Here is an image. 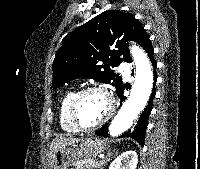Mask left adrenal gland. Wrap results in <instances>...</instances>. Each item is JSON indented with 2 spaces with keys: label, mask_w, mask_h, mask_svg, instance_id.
I'll return each instance as SVG.
<instances>
[{
  "label": "left adrenal gland",
  "mask_w": 200,
  "mask_h": 169,
  "mask_svg": "<svg viewBox=\"0 0 200 169\" xmlns=\"http://www.w3.org/2000/svg\"><path fill=\"white\" fill-rule=\"evenodd\" d=\"M114 154H117V150H109L108 153H107V156H106V160L104 161V163L102 164V167L101 169H103V166L106 165L107 161H109L111 159V157L114 155Z\"/></svg>",
  "instance_id": "a2214340"
}]
</instances>
